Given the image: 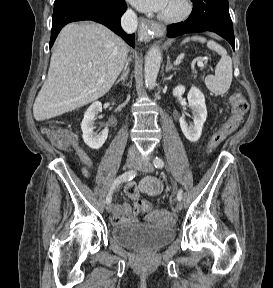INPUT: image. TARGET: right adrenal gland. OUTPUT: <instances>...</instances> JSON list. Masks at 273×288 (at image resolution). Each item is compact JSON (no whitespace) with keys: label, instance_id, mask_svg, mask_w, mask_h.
I'll return each instance as SVG.
<instances>
[{"label":"right adrenal gland","instance_id":"right-adrenal-gland-1","mask_svg":"<svg viewBox=\"0 0 273 288\" xmlns=\"http://www.w3.org/2000/svg\"><path fill=\"white\" fill-rule=\"evenodd\" d=\"M129 74V68L125 67L123 74L121 77L116 81L115 84H118L120 81L125 82Z\"/></svg>","mask_w":273,"mask_h":288}]
</instances>
